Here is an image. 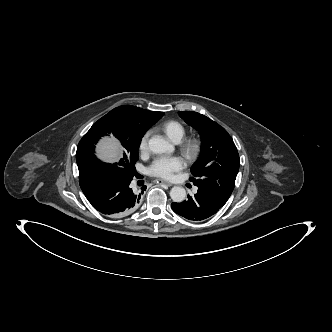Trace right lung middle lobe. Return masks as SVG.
I'll return each instance as SVG.
<instances>
[{"instance_id": "1", "label": "right lung middle lobe", "mask_w": 332, "mask_h": 332, "mask_svg": "<svg viewBox=\"0 0 332 332\" xmlns=\"http://www.w3.org/2000/svg\"><path fill=\"white\" fill-rule=\"evenodd\" d=\"M162 116H139L131 113L123 106L111 110L93 124L78 144L76 161L79 178L100 168L112 169L122 176H134V164L138 160V148L141 139L146 131ZM110 133L120 141L123 149L122 158L113 164L101 162L94 154L95 144L100 137Z\"/></svg>"}]
</instances>
